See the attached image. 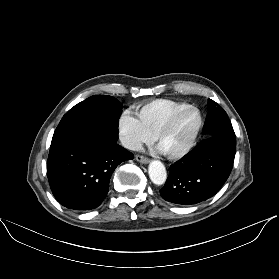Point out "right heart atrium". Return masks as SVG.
I'll return each instance as SVG.
<instances>
[{
	"label": "right heart atrium",
	"instance_id": "right-heart-atrium-1",
	"mask_svg": "<svg viewBox=\"0 0 279 279\" xmlns=\"http://www.w3.org/2000/svg\"><path fill=\"white\" fill-rule=\"evenodd\" d=\"M117 128L122 144L130 150H138L143 144L152 141V136L143 127L139 118L130 110L122 112L118 119Z\"/></svg>",
	"mask_w": 279,
	"mask_h": 279
}]
</instances>
